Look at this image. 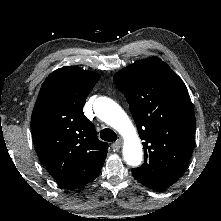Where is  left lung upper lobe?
I'll list each match as a JSON object with an SVG mask.
<instances>
[{"label":"left lung upper lobe","instance_id":"1","mask_svg":"<svg viewBox=\"0 0 221 221\" xmlns=\"http://www.w3.org/2000/svg\"><path fill=\"white\" fill-rule=\"evenodd\" d=\"M113 79L144 140L145 160L132 169L134 178L142 184L174 183L194 148L195 114L185 84L155 56L136 61Z\"/></svg>","mask_w":221,"mask_h":221}]
</instances>
